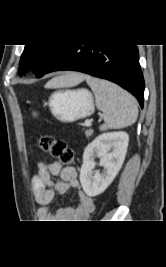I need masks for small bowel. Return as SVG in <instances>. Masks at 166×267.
<instances>
[{
  "mask_svg": "<svg viewBox=\"0 0 166 267\" xmlns=\"http://www.w3.org/2000/svg\"><path fill=\"white\" fill-rule=\"evenodd\" d=\"M59 175L60 181L52 177ZM32 187L39 205L37 216L46 222H76L86 220L94 208L93 199L81 190L77 172L73 167L61 168L59 162L38 163L37 173L32 178ZM69 189L77 190L78 203L74 207L52 211L49 204L56 195H63Z\"/></svg>",
  "mask_w": 166,
  "mask_h": 267,
  "instance_id": "1",
  "label": "small bowel"
}]
</instances>
